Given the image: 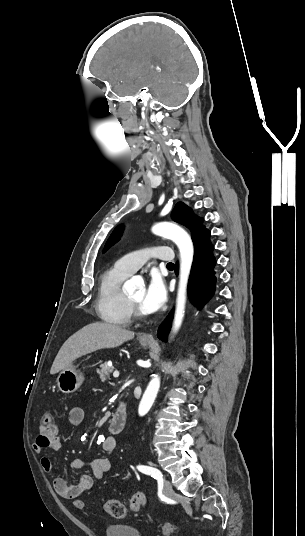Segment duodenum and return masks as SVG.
<instances>
[{
    "mask_svg": "<svg viewBox=\"0 0 305 536\" xmlns=\"http://www.w3.org/2000/svg\"><path fill=\"white\" fill-rule=\"evenodd\" d=\"M128 421V413L126 406L121 403L113 413L109 422V429L113 433H119L124 430Z\"/></svg>",
    "mask_w": 305,
    "mask_h": 536,
    "instance_id": "1",
    "label": "duodenum"
}]
</instances>
